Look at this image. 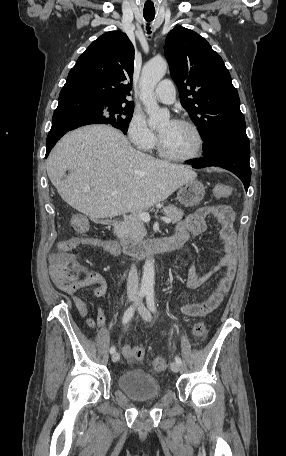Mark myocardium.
Segmentation results:
<instances>
[{"label": "myocardium", "instance_id": "myocardium-1", "mask_svg": "<svg viewBox=\"0 0 286 456\" xmlns=\"http://www.w3.org/2000/svg\"><path fill=\"white\" fill-rule=\"evenodd\" d=\"M173 122L186 126L195 133L197 140H198L197 151L194 154H192L190 156H185V157H179V156L172 155L166 151L164 144L161 140V137L158 134L157 150H158L159 155L167 160L176 161V162H189V161H193V160L200 158L203 155L204 150H205V138H204V135H203L202 131L200 130V128L195 123L188 121V120H184V119H175V120H173Z\"/></svg>", "mask_w": 286, "mask_h": 456}]
</instances>
